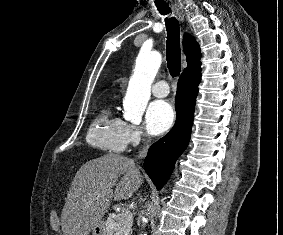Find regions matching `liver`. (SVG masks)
<instances>
[{
  "label": "liver",
  "instance_id": "obj_1",
  "mask_svg": "<svg viewBox=\"0 0 283 235\" xmlns=\"http://www.w3.org/2000/svg\"><path fill=\"white\" fill-rule=\"evenodd\" d=\"M142 182L134 160L119 154H105L83 164L62 210L63 235H88L107 212L112 197L117 201L127 200ZM113 187H116L114 193Z\"/></svg>",
  "mask_w": 283,
  "mask_h": 235
}]
</instances>
